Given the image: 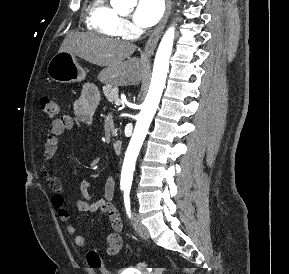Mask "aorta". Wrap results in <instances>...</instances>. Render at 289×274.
I'll list each match as a JSON object with an SVG mask.
<instances>
[{
	"instance_id": "762f6f07",
	"label": "aorta",
	"mask_w": 289,
	"mask_h": 274,
	"mask_svg": "<svg viewBox=\"0 0 289 274\" xmlns=\"http://www.w3.org/2000/svg\"><path fill=\"white\" fill-rule=\"evenodd\" d=\"M128 1L130 0H111V3L113 6L119 7L125 5ZM173 42L174 27H170L164 34L156 53L149 91L138 115L134 133L125 154L121 185H130L132 183L137 156L158 108L165 86Z\"/></svg>"
}]
</instances>
